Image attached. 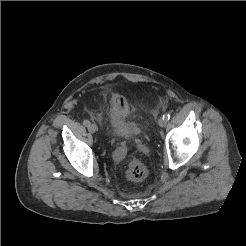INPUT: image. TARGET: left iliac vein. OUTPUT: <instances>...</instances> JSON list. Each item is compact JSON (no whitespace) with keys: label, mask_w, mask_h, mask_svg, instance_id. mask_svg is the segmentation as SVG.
Segmentation results:
<instances>
[{"label":"left iliac vein","mask_w":246,"mask_h":246,"mask_svg":"<svg viewBox=\"0 0 246 246\" xmlns=\"http://www.w3.org/2000/svg\"><path fill=\"white\" fill-rule=\"evenodd\" d=\"M166 124H167V121H166L165 119L160 118V119L158 120V125H159L160 127H165Z\"/></svg>","instance_id":"4c4485c4"}]
</instances>
